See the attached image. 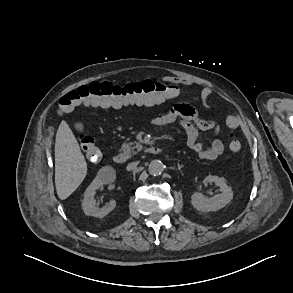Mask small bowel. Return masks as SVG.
<instances>
[{"label": "small bowel", "instance_id": "obj_1", "mask_svg": "<svg viewBox=\"0 0 293 293\" xmlns=\"http://www.w3.org/2000/svg\"><path fill=\"white\" fill-rule=\"evenodd\" d=\"M165 80L180 83L183 80L177 77L167 76ZM212 94L210 88H204L201 91V101L205 107H209V99ZM165 101V100H163ZM163 101H140L135 103L138 106L151 107L162 103ZM177 123L186 132L188 147L202 160L212 161L217 159L224 152L223 142L214 137L209 146L199 142V134L201 131H212L214 136L219 133V126L211 121H207L199 116L198 111L187 104H176L167 112L158 114L151 119V124L154 126H165Z\"/></svg>", "mask_w": 293, "mask_h": 293}]
</instances>
